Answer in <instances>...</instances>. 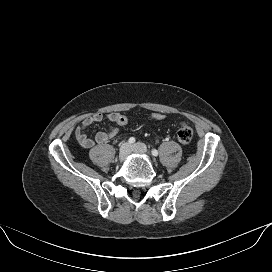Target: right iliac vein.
<instances>
[{"mask_svg":"<svg viewBox=\"0 0 272 272\" xmlns=\"http://www.w3.org/2000/svg\"><path fill=\"white\" fill-rule=\"evenodd\" d=\"M131 153V146L129 143H123L120 147L119 151V159L120 161L125 160L128 155Z\"/></svg>","mask_w":272,"mask_h":272,"instance_id":"obj_1","label":"right iliac vein"}]
</instances>
